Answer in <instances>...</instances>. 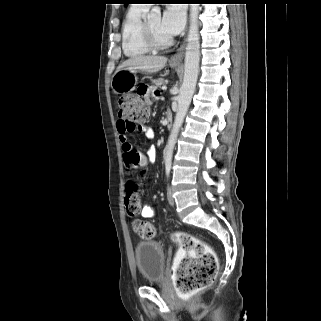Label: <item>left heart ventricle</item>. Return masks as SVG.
Wrapping results in <instances>:
<instances>
[{"mask_svg": "<svg viewBox=\"0 0 321 321\" xmlns=\"http://www.w3.org/2000/svg\"><path fill=\"white\" fill-rule=\"evenodd\" d=\"M160 20H161V17L159 15H153L147 19L148 24H149L154 36L156 37V39L159 41H165V40L169 39L171 36H169L167 33H165L161 29Z\"/></svg>", "mask_w": 321, "mask_h": 321, "instance_id": "left-heart-ventricle-1", "label": "left heart ventricle"}]
</instances>
